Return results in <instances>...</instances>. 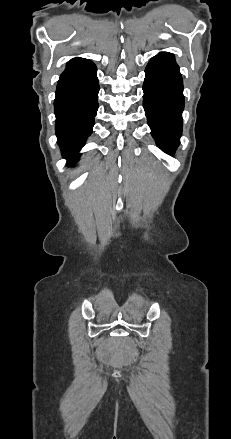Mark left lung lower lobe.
Masks as SVG:
<instances>
[{
	"label": "left lung lower lobe",
	"mask_w": 231,
	"mask_h": 439,
	"mask_svg": "<svg viewBox=\"0 0 231 439\" xmlns=\"http://www.w3.org/2000/svg\"><path fill=\"white\" fill-rule=\"evenodd\" d=\"M143 107L157 146L172 155L180 144L183 82L174 55L162 52L145 69Z\"/></svg>",
	"instance_id": "1"
}]
</instances>
